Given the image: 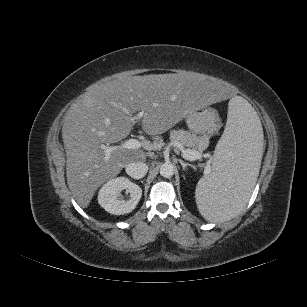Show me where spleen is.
Returning a JSON list of instances; mask_svg holds the SVG:
<instances>
[{"mask_svg":"<svg viewBox=\"0 0 307 307\" xmlns=\"http://www.w3.org/2000/svg\"><path fill=\"white\" fill-rule=\"evenodd\" d=\"M265 151L264 134L256 111L243 98H232L211 172L196 186V204L206 220L224 222L242 211L257 181Z\"/></svg>","mask_w":307,"mask_h":307,"instance_id":"obj_1","label":"spleen"}]
</instances>
